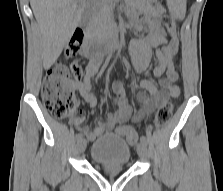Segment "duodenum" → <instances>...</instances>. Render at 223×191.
Segmentation results:
<instances>
[{"instance_id":"410a0bca","label":"duodenum","mask_w":223,"mask_h":191,"mask_svg":"<svg viewBox=\"0 0 223 191\" xmlns=\"http://www.w3.org/2000/svg\"><path fill=\"white\" fill-rule=\"evenodd\" d=\"M121 40L116 31L105 36L98 37L90 52L94 53V58H103L110 55L115 49L119 48Z\"/></svg>"}]
</instances>
